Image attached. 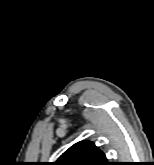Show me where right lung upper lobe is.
Listing matches in <instances>:
<instances>
[{"mask_svg": "<svg viewBox=\"0 0 154 165\" xmlns=\"http://www.w3.org/2000/svg\"><path fill=\"white\" fill-rule=\"evenodd\" d=\"M55 163L57 165H109L105 154L91 141L74 144Z\"/></svg>", "mask_w": 154, "mask_h": 165, "instance_id": "1", "label": "right lung upper lobe"}]
</instances>
